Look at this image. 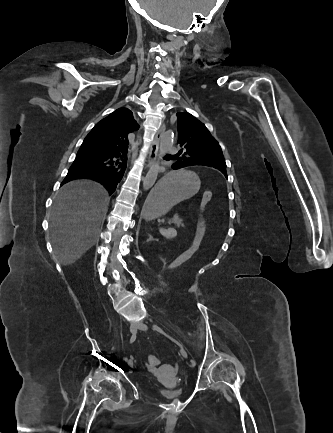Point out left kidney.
<instances>
[{
	"label": "left kidney",
	"mask_w": 333,
	"mask_h": 433,
	"mask_svg": "<svg viewBox=\"0 0 333 433\" xmlns=\"http://www.w3.org/2000/svg\"><path fill=\"white\" fill-rule=\"evenodd\" d=\"M171 230L174 231V232L176 233V230H175V229H172V228H171Z\"/></svg>",
	"instance_id": "obj_1"
}]
</instances>
